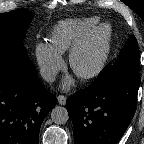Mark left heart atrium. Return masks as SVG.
I'll return each mask as SVG.
<instances>
[{
	"label": "left heart atrium",
	"mask_w": 144,
	"mask_h": 144,
	"mask_svg": "<svg viewBox=\"0 0 144 144\" xmlns=\"http://www.w3.org/2000/svg\"><path fill=\"white\" fill-rule=\"evenodd\" d=\"M71 83H72V78H66L63 83V87L66 89L71 85Z\"/></svg>",
	"instance_id": "1"
}]
</instances>
